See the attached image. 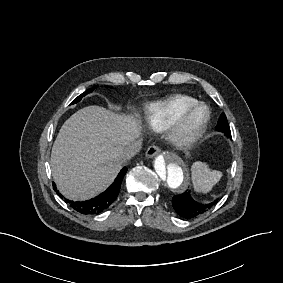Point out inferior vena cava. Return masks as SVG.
I'll return each instance as SVG.
<instances>
[{
  "label": "inferior vena cava",
  "instance_id": "1",
  "mask_svg": "<svg viewBox=\"0 0 283 283\" xmlns=\"http://www.w3.org/2000/svg\"><path fill=\"white\" fill-rule=\"evenodd\" d=\"M140 149H141V141L139 140L134 141L133 143L125 147L124 151L119 156V159L122 162L130 160L132 157H134L139 153Z\"/></svg>",
  "mask_w": 283,
  "mask_h": 283
}]
</instances>
